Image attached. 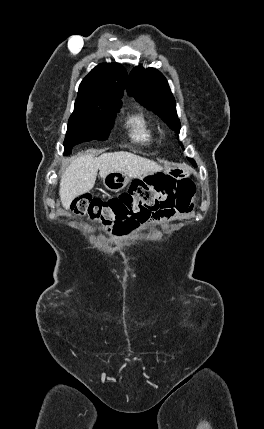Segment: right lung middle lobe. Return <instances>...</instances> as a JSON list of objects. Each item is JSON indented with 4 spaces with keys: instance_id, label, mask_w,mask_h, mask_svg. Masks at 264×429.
<instances>
[{
    "instance_id": "right-lung-middle-lobe-1",
    "label": "right lung middle lobe",
    "mask_w": 264,
    "mask_h": 429,
    "mask_svg": "<svg viewBox=\"0 0 264 429\" xmlns=\"http://www.w3.org/2000/svg\"><path fill=\"white\" fill-rule=\"evenodd\" d=\"M121 104L104 102H75L64 141L65 154L81 142L106 140Z\"/></svg>"
}]
</instances>
